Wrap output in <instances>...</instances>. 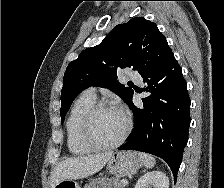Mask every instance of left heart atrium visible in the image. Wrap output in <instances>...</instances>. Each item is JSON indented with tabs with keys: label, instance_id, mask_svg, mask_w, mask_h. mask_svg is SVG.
Returning a JSON list of instances; mask_svg holds the SVG:
<instances>
[{
	"label": "left heart atrium",
	"instance_id": "39dd6f15",
	"mask_svg": "<svg viewBox=\"0 0 224 188\" xmlns=\"http://www.w3.org/2000/svg\"><path fill=\"white\" fill-rule=\"evenodd\" d=\"M124 116H125V114H124V112L123 111H120Z\"/></svg>",
	"mask_w": 224,
	"mask_h": 188
}]
</instances>
